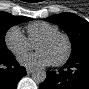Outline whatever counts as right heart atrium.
<instances>
[{
	"mask_svg": "<svg viewBox=\"0 0 89 89\" xmlns=\"http://www.w3.org/2000/svg\"><path fill=\"white\" fill-rule=\"evenodd\" d=\"M4 41L6 47L15 56H20L34 47L18 26H12L6 31Z\"/></svg>",
	"mask_w": 89,
	"mask_h": 89,
	"instance_id": "d8ad5b80",
	"label": "right heart atrium"
}]
</instances>
